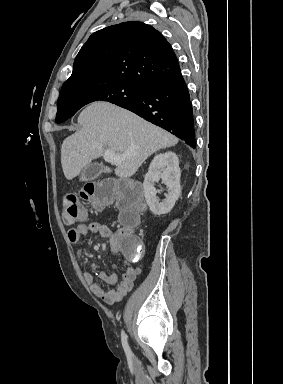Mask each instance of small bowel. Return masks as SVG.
<instances>
[{
  "label": "small bowel",
  "mask_w": 283,
  "mask_h": 384,
  "mask_svg": "<svg viewBox=\"0 0 283 384\" xmlns=\"http://www.w3.org/2000/svg\"><path fill=\"white\" fill-rule=\"evenodd\" d=\"M89 233L96 234L102 238L110 239L111 248L113 251L117 250L118 243L116 240V234H114L111 228L105 224L97 221L90 222L88 224H79L72 228L68 232V238L72 243H79L84 236ZM85 253L84 248H79L77 255L79 259H82ZM140 267H134L129 265L126 271L119 278L116 272L100 271L95 277L89 271H84V279L89 285L92 293L102 299L109 305L120 302L133 288L134 281L141 273ZM97 279L101 282L116 286L114 289H105L97 282Z\"/></svg>",
  "instance_id": "1"
}]
</instances>
